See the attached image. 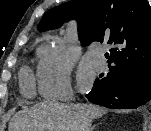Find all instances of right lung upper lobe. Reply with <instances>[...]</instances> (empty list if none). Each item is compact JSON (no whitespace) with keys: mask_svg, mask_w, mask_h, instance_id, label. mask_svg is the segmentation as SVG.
I'll list each match as a JSON object with an SVG mask.
<instances>
[{"mask_svg":"<svg viewBox=\"0 0 151 131\" xmlns=\"http://www.w3.org/2000/svg\"><path fill=\"white\" fill-rule=\"evenodd\" d=\"M76 18L79 39L116 46L110 49V69L137 70L151 66V10L147 0H74L54 7L41 19L39 30Z\"/></svg>","mask_w":151,"mask_h":131,"instance_id":"1","label":"right lung upper lobe"}]
</instances>
